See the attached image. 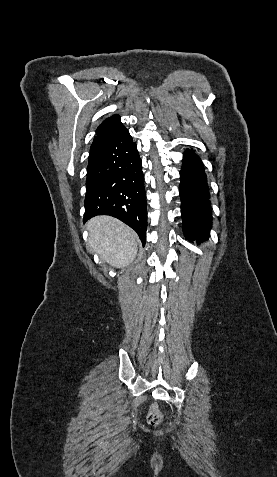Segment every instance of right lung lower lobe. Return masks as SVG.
Masks as SVG:
<instances>
[{"label":"right lung lower lobe","mask_w":277,"mask_h":477,"mask_svg":"<svg viewBox=\"0 0 277 477\" xmlns=\"http://www.w3.org/2000/svg\"><path fill=\"white\" fill-rule=\"evenodd\" d=\"M86 189L83 221L97 215L116 217L133 228L145 245L147 208L142 163L126 128L90 149Z\"/></svg>","instance_id":"obj_1"}]
</instances>
